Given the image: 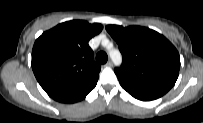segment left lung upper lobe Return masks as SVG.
<instances>
[{"label":"left lung upper lobe","instance_id":"obj_1","mask_svg":"<svg viewBox=\"0 0 203 123\" xmlns=\"http://www.w3.org/2000/svg\"><path fill=\"white\" fill-rule=\"evenodd\" d=\"M122 53L123 64L115 68L118 79L141 88L167 93L180 69L176 48L163 35L141 26H106Z\"/></svg>","mask_w":203,"mask_h":123}]
</instances>
